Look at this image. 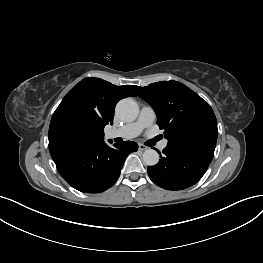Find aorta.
Masks as SVG:
<instances>
[{
    "mask_svg": "<svg viewBox=\"0 0 263 263\" xmlns=\"http://www.w3.org/2000/svg\"><path fill=\"white\" fill-rule=\"evenodd\" d=\"M139 113L137 103L131 98H125L118 102L116 114L124 121H134ZM143 162L148 166H154L159 161V154L153 149H147L142 156Z\"/></svg>",
    "mask_w": 263,
    "mask_h": 263,
    "instance_id": "762f6f07",
    "label": "aorta"
}]
</instances>
